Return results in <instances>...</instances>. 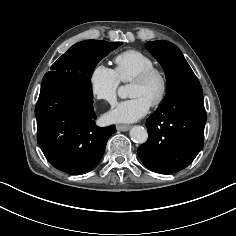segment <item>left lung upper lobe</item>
Listing matches in <instances>:
<instances>
[{
	"label": "left lung upper lobe",
	"mask_w": 236,
	"mask_h": 236,
	"mask_svg": "<svg viewBox=\"0 0 236 236\" xmlns=\"http://www.w3.org/2000/svg\"><path fill=\"white\" fill-rule=\"evenodd\" d=\"M146 46L161 64L166 75L167 96L164 101L180 87L199 83L182 52L173 43L157 40L148 42Z\"/></svg>",
	"instance_id": "5c2ea615"
}]
</instances>
